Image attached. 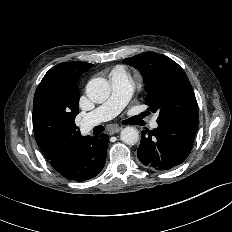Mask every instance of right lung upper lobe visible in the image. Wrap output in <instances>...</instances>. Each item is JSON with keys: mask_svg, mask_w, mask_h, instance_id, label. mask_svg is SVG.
Masks as SVG:
<instances>
[{"mask_svg": "<svg viewBox=\"0 0 232 232\" xmlns=\"http://www.w3.org/2000/svg\"><path fill=\"white\" fill-rule=\"evenodd\" d=\"M93 65L84 62H64L51 68L43 77L34 96L33 102V130L35 139L44 156L51 165L59 168L65 158L70 144L81 138L75 121L54 136L45 134L43 122L36 113L44 106L58 102L66 107L67 113L75 117L78 114L79 91L77 80Z\"/></svg>", "mask_w": 232, "mask_h": 232, "instance_id": "obj_1", "label": "right lung upper lobe"}]
</instances>
